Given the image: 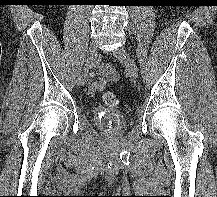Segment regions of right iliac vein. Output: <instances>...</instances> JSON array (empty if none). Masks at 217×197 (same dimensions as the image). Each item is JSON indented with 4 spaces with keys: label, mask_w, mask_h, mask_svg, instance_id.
Masks as SVG:
<instances>
[{
    "label": "right iliac vein",
    "mask_w": 217,
    "mask_h": 197,
    "mask_svg": "<svg viewBox=\"0 0 217 197\" xmlns=\"http://www.w3.org/2000/svg\"><path fill=\"white\" fill-rule=\"evenodd\" d=\"M97 57V46L95 43H91L87 52V58L84 70L78 79V85L83 86L86 82L90 69L94 66L95 59Z\"/></svg>",
    "instance_id": "63e3f726"
}]
</instances>
